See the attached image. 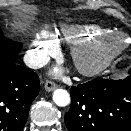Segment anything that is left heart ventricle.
I'll return each mask as SVG.
<instances>
[{"mask_svg": "<svg viewBox=\"0 0 131 131\" xmlns=\"http://www.w3.org/2000/svg\"><path fill=\"white\" fill-rule=\"evenodd\" d=\"M115 45H116L115 42H111L108 46H109V47H113V46H115ZM102 53H103V52L97 53L95 57H100V56L102 55ZM91 61H92V60H86V63H90Z\"/></svg>", "mask_w": 131, "mask_h": 131, "instance_id": "b2bd125f", "label": "left heart ventricle"}]
</instances>
